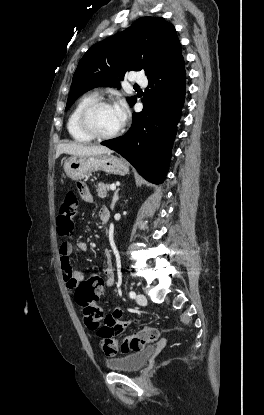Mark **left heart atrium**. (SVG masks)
I'll use <instances>...</instances> for the list:
<instances>
[{
	"instance_id": "left-heart-atrium-1",
	"label": "left heart atrium",
	"mask_w": 264,
	"mask_h": 415,
	"mask_svg": "<svg viewBox=\"0 0 264 415\" xmlns=\"http://www.w3.org/2000/svg\"><path fill=\"white\" fill-rule=\"evenodd\" d=\"M115 107H116V110L118 111L121 119L124 121L127 117V114H128V109H127L126 103L123 100H121V101H119V103L117 105H115Z\"/></svg>"
}]
</instances>
